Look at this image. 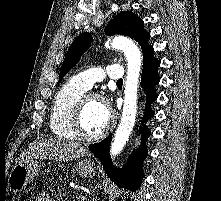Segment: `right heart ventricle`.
Returning a JSON list of instances; mask_svg holds the SVG:
<instances>
[{
	"instance_id": "obj_1",
	"label": "right heart ventricle",
	"mask_w": 221,
	"mask_h": 201,
	"mask_svg": "<svg viewBox=\"0 0 221 201\" xmlns=\"http://www.w3.org/2000/svg\"><path fill=\"white\" fill-rule=\"evenodd\" d=\"M85 91L74 81H70L57 92L50 114V129L55 136L66 140L76 138L71 128V120L74 108Z\"/></svg>"
}]
</instances>
